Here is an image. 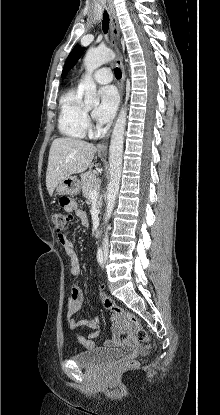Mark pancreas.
Wrapping results in <instances>:
<instances>
[{
    "instance_id": "cf45deb5",
    "label": "pancreas",
    "mask_w": 220,
    "mask_h": 415,
    "mask_svg": "<svg viewBox=\"0 0 220 415\" xmlns=\"http://www.w3.org/2000/svg\"><path fill=\"white\" fill-rule=\"evenodd\" d=\"M99 183L98 179H96L95 175L91 172H86L81 174V187L83 196L87 199H90L89 193L95 186ZM98 206L101 208L102 206V196L99 197Z\"/></svg>"
}]
</instances>
